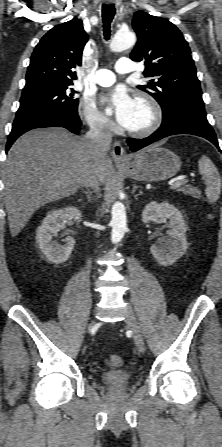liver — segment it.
<instances>
[{
	"mask_svg": "<svg viewBox=\"0 0 222 447\" xmlns=\"http://www.w3.org/2000/svg\"><path fill=\"white\" fill-rule=\"evenodd\" d=\"M108 156L98 165L104 184L110 173ZM94 167L89 143L66 129L29 131L10 148L4 164V202L10 233L18 235L41 206L75 194Z\"/></svg>",
	"mask_w": 222,
	"mask_h": 447,
	"instance_id": "6515ba94",
	"label": "liver"
}]
</instances>
